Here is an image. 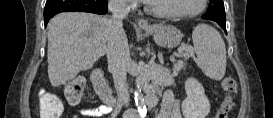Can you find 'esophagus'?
<instances>
[{"instance_id":"obj_1","label":"esophagus","mask_w":273,"mask_h":118,"mask_svg":"<svg viewBox=\"0 0 273 118\" xmlns=\"http://www.w3.org/2000/svg\"><path fill=\"white\" fill-rule=\"evenodd\" d=\"M138 25H139V27L142 28V29H148V28L150 27L148 21L145 20V19H139V20H138Z\"/></svg>"}]
</instances>
